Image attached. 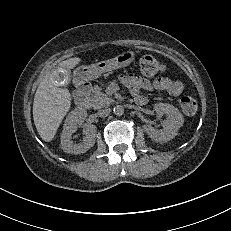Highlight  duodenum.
I'll list each match as a JSON object with an SVG mask.
<instances>
[{
	"instance_id": "410a0bca",
	"label": "duodenum",
	"mask_w": 231,
	"mask_h": 231,
	"mask_svg": "<svg viewBox=\"0 0 231 231\" xmlns=\"http://www.w3.org/2000/svg\"><path fill=\"white\" fill-rule=\"evenodd\" d=\"M91 91V83L87 80L79 79L76 82L75 105L80 109H87L89 107V93ZM135 103L143 105L146 103L145 97H137L134 99Z\"/></svg>"
}]
</instances>
